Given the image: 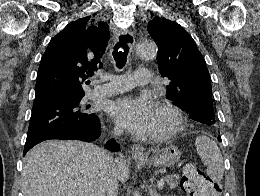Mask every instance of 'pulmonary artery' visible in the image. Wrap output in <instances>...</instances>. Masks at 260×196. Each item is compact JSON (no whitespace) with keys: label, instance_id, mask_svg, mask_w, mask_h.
<instances>
[{"label":"pulmonary artery","instance_id":"obj_1","mask_svg":"<svg viewBox=\"0 0 260 196\" xmlns=\"http://www.w3.org/2000/svg\"><path fill=\"white\" fill-rule=\"evenodd\" d=\"M133 77H138V79ZM152 77V69H134V72H127V76H114V79H112V81H109V85L95 88L89 93V96L103 97L110 96L116 93H121L126 90H133V85L123 84H150V81H152Z\"/></svg>","mask_w":260,"mask_h":196}]
</instances>
